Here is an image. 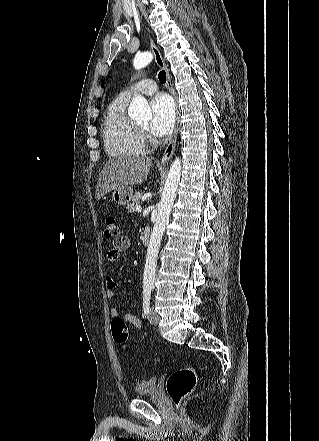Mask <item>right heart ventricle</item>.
Segmentation results:
<instances>
[{
	"instance_id": "e07e8e85",
	"label": "right heart ventricle",
	"mask_w": 319,
	"mask_h": 441,
	"mask_svg": "<svg viewBox=\"0 0 319 441\" xmlns=\"http://www.w3.org/2000/svg\"><path fill=\"white\" fill-rule=\"evenodd\" d=\"M128 98L119 95L107 108L103 123L106 152L112 157H131L143 153L142 132L126 112Z\"/></svg>"
}]
</instances>
